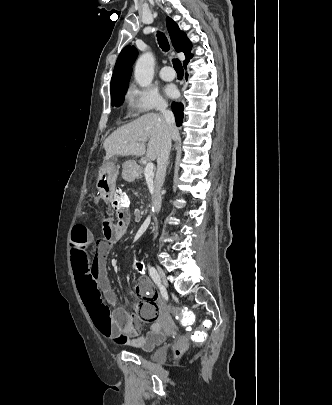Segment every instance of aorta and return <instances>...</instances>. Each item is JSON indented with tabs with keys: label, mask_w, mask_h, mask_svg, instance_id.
Here are the masks:
<instances>
[{
	"label": "aorta",
	"mask_w": 332,
	"mask_h": 405,
	"mask_svg": "<svg viewBox=\"0 0 332 405\" xmlns=\"http://www.w3.org/2000/svg\"><path fill=\"white\" fill-rule=\"evenodd\" d=\"M154 64V56L149 52L143 53L138 58L134 69V77L135 81L141 87H148L152 83L154 77Z\"/></svg>",
	"instance_id": "obj_1"
}]
</instances>
